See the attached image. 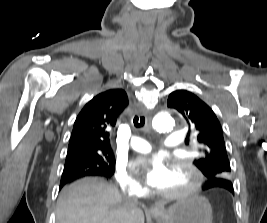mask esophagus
<instances>
[{
  "label": "esophagus",
  "instance_id": "34e87169",
  "mask_svg": "<svg viewBox=\"0 0 267 223\" xmlns=\"http://www.w3.org/2000/svg\"><path fill=\"white\" fill-rule=\"evenodd\" d=\"M141 113L143 114V115H147V111L144 109V108H141ZM151 212H160L161 211V209H160V207L159 206H154V207H152L151 209Z\"/></svg>",
  "mask_w": 267,
  "mask_h": 223
}]
</instances>
